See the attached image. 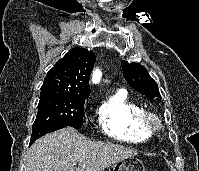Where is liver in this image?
Returning a JSON list of instances; mask_svg holds the SVG:
<instances>
[{"label": "liver", "instance_id": "1", "mask_svg": "<svg viewBox=\"0 0 199 171\" xmlns=\"http://www.w3.org/2000/svg\"><path fill=\"white\" fill-rule=\"evenodd\" d=\"M137 154L121 145L88 141L75 129L66 127L43 136L31 146L27 171H103Z\"/></svg>", "mask_w": 199, "mask_h": 171}]
</instances>
